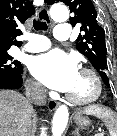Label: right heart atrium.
<instances>
[{
	"label": "right heart atrium",
	"mask_w": 117,
	"mask_h": 136,
	"mask_svg": "<svg viewBox=\"0 0 117 136\" xmlns=\"http://www.w3.org/2000/svg\"><path fill=\"white\" fill-rule=\"evenodd\" d=\"M26 86L27 91L31 96L40 97L43 95V88L38 82L34 80H28Z\"/></svg>",
	"instance_id": "d8ad5b80"
}]
</instances>
